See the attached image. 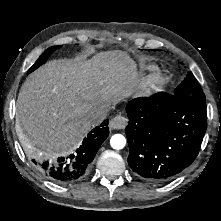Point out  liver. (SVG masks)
Listing matches in <instances>:
<instances>
[{
    "label": "liver",
    "mask_w": 221,
    "mask_h": 221,
    "mask_svg": "<svg viewBox=\"0 0 221 221\" xmlns=\"http://www.w3.org/2000/svg\"><path fill=\"white\" fill-rule=\"evenodd\" d=\"M137 64L121 50L100 52L91 59L51 60L22 85L16 119L28 152L37 145L48 152H69L95 125L87 119L95 106L115 105L136 92Z\"/></svg>",
    "instance_id": "liver-1"
}]
</instances>
